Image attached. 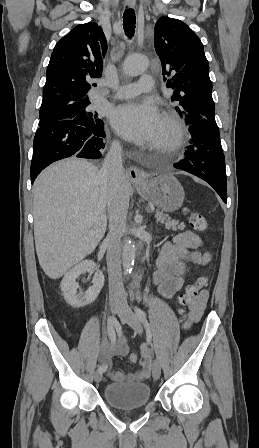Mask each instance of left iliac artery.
<instances>
[{
  "instance_id": "obj_1",
  "label": "left iliac artery",
  "mask_w": 259,
  "mask_h": 448,
  "mask_svg": "<svg viewBox=\"0 0 259 448\" xmlns=\"http://www.w3.org/2000/svg\"><path fill=\"white\" fill-rule=\"evenodd\" d=\"M135 312H136L137 316L140 318V320L144 324H147L146 313L138 307H135Z\"/></svg>"
}]
</instances>
